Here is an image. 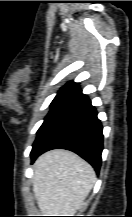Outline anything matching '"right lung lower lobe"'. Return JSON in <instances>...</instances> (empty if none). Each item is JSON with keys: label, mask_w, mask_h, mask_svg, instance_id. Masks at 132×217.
<instances>
[{"label": "right lung lower lobe", "mask_w": 132, "mask_h": 217, "mask_svg": "<svg viewBox=\"0 0 132 217\" xmlns=\"http://www.w3.org/2000/svg\"><path fill=\"white\" fill-rule=\"evenodd\" d=\"M51 149H67L89 162L98 173L103 150L102 125L87 96L61 110L33 144L32 162Z\"/></svg>", "instance_id": "1"}]
</instances>
